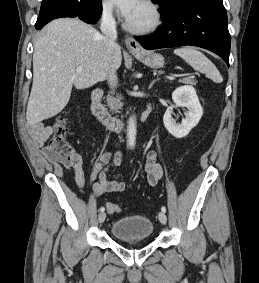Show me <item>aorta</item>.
Masks as SVG:
<instances>
[{"mask_svg":"<svg viewBox=\"0 0 259 283\" xmlns=\"http://www.w3.org/2000/svg\"><path fill=\"white\" fill-rule=\"evenodd\" d=\"M136 120L134 116H131L128 120V125H127V143L130 146L135 145L136 141Z\"/></svg>","mask_w":259,"mask_h":283,"instance_id":"obj_1","label":"aorta"}]
</instances>
